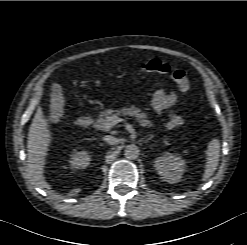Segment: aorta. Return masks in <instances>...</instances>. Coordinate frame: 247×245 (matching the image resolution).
Returning a JSON list of instances; mask_svg holds the SVG:
<instances>
[{
  "instance_id": "1",
  "label": "aorta",
  "mask_w": 247,
  "mask_h": 245,
  "mask_svg": "<svg viewBox=\"0 0 247 245\" xmlns=\"http://www.w3.org/2000/svg\"><path fill=\"white\" fill-rule=\"evenodd\" d=\"M140 154V150L137 145L129 144L125 147L124 155L128 159H136Z\"/></svg>"
}]
</instances>
